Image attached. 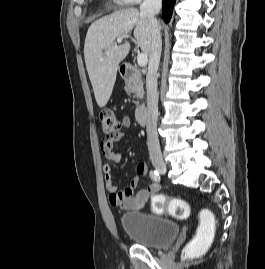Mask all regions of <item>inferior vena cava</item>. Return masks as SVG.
I'll use <instances>...</instances> for the list:
<instances>
[{
  "mask_svg": "<svg viewBox=\"0 0 265 269\" xmlns=\"http://www.w3.org/2000/svg\"><path fill=\"white\" fill-rule=\"evenodd\" d=\"M162 7V0H144L140 5V13L148 20L151 29L152 41L149 55V66L146 77L147 85V145L151 160H162V154L157 133L158 120V92L157 71L159 67L162 40L160 27L155 15Z\"/></svg>",
  "mask_w": 265,
  "mask_h": 269,
  "instance_id": "inferior-vena-cava-1",
  "label": "inferior vena cava"
}]
</instances>
